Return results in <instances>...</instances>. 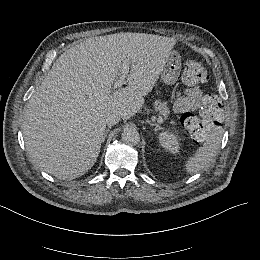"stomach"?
I'll use <instances>...</instances> for the list:
<instances>
[{"label": "stomach", "mask_w": 260, "mask_h": 260, "mask_svg": "<svg viewBox=\"0 0 260 260\" xmlns=\"http://www.w3.org/2000/svg\"><path fill=\"white\" fill-rule=\"evenodd\" d=\"M183 59V54L178 49H173L168 54V60L165 63V68L160 74L162 82L167 86L174 85L180 75V62Z\"/></svg>", "instance_id": "stomach-1"}]
</instances>
